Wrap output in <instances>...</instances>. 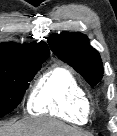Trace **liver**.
Here are the masks:
<instances>
[{"instance_id":"liver-1","label":"liver","mask_w":117,"mask_h":136,"mask_svg":"<svg viewBox=\"0 0 117 136\" xmlns=\"http://www.w3.org/2000/svg\"><path fill=\"white\" fill-rule=\"evenodd\" d=\"M0 136H91L56 120L27 118L0 126Z\"/></svg>"}]
</instances>
